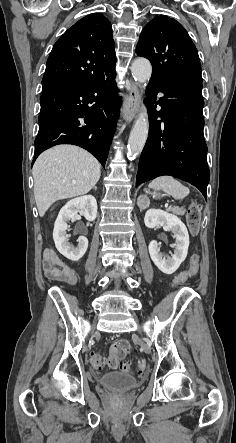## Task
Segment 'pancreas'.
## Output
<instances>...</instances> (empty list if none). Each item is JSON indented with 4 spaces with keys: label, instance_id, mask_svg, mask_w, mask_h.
<instances>
[{
    "label": "pancreas",
    "instance_id": "pancreas-1",
    "mask_svg": "<svg viewBox=\"0 0 236 443\" xmlns=\"http://www.w3.org/2000/svg\"><path fill=\"white\" fill-rule=\"evenodd\" d=\"M169 211L180 216H183L185 214V209L180 207L170 208Z\"/></svg>",
    "mask_w": 236,
    "mask_h": 443
}]
</instances>
